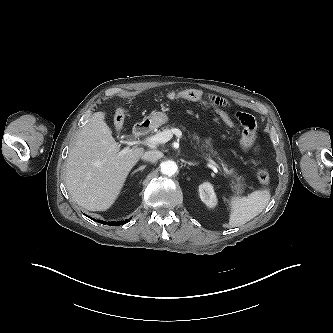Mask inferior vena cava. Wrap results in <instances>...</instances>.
Returning a JSON list of instances; mask_svg holds the SVG:
<instances>
[{
	"mask_svg": "<svg viewBox=\"0 0 333 333\" xmlns=\"http://www.w3.org/2000/svg\"><path fill=\"white\" fill-rule=\"evenodd\" d=\"M163 157V153L157 150H151V151H146L143 155H142V159L148 162H156L157 160H159L160 158Z\"/></svg>",
	"mask_w": 333,
	"mask_h": 333,
	"instance_id": "602c4592",
	"label": "inferior vena cava"
}]
</instances>
